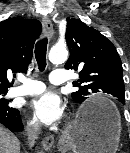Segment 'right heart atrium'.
I'll use <instances>...</instances> for the list:
<instances>
[{"mask_svg":"<svg viewBox=\"0 0 130 153\" xmlns=\"http://www.w3.org/2000/svg\"><path fill=\"white\" fill-rule=\"evenodd\" d=\"M27 129L30 133H36L38 131V124L35 120H29L27 123Z\"/></svg>","mask_w":130,"mask_h":153,"instance_id":"right-heart-atrium-1","label":"right heart atrium"}]
</instances>
